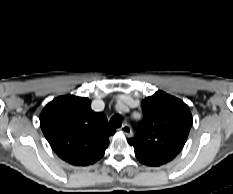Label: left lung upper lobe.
<instances>
[{"label":"left lung upper lobe","mask_w":233,"mask_h":194,"mask_svg":"<svg viewBox=\"0 0 233 194\" xmlns=\"http://www.w3.org/2000/svg\"><path fill=\"white\" fill-rule=\"evenodd\" d=\"M143 120L137 135L128 139L141 162L156 166L172 161L182 150L190 128L192 115L188 106L163 91L142 101Z\"/></svg>","instance_id":"5c2ea615"}]
</instances>
